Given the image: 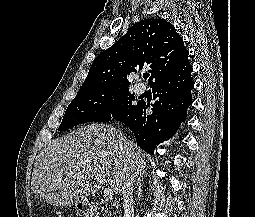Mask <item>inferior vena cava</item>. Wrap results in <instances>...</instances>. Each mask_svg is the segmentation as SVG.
<instances>
[{
    "label": "inferior vena cava",
    "mask_w": 255,
    "mask_h": 217,
    "mask_svg": "<svg viewBox=\"0 0 255 217\" xmlns=\"http://www.w3.org/2000/svg\"><path fill=\"white\" fill-rule=\"evenodd\" d=\"M133 181L134 178L126 172L122 187L124 217H134Z\"/></svg>",
    "instance_id": "602c4592"
}]
</instances>
